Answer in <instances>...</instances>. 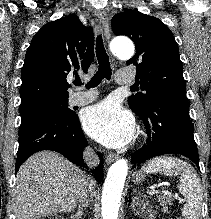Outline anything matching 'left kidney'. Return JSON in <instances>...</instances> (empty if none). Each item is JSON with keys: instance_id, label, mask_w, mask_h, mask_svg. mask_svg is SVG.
I'll return each instance as SVG.
<instances>
[{"instance_id": "left-kidney-1", "label": "left kidney", "mask_w": 211, "mask_h": 219, "mask_svg": "<svg viewBox=\"0 0 211 219\" xmlns=\"http://www.w3.org/2000/svg\"><path fill=\"white\" fill-rule=\"evenodd\" d=\"M153 216H154V215H153V214H151V215H150V219H152V217H153Z\"/></svg>"}]
</instances>
